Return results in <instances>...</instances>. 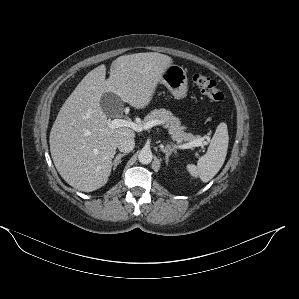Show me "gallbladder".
Returning a JSON list of instances; mask_svg holds the SVG:
<instances>
[{
    "mask_svg": "<svg viewBox=\"0 0 299 299\" xmlns=\"http://www.w3.org/2000/svg\"><path fill=\"white\" fill-rule=\"evenodd\" d=\"M100 107L107 116L119 117L123 114V101L114 93H104L100 99Z\"/></svg>",
    "mask_w": 299,
    "mask_h": 299,
    "instance_id": "obj_1",
    "label": "gallbladder"
}]
</instances>
